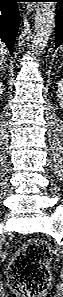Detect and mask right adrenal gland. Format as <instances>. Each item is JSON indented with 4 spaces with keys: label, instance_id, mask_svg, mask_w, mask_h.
Returning a JSON list of instances; mask_svg holds the SVG:
<instances>
[{
    "label": "right adrenal gland",
    "instance_id": "2a0ac1e0",
    "mask_svg": "<svg viewBox=\"0 0 63 297\" xmlns=\"http://www.w3.org/2000/svg\"><path fill=\"white\" fill-rule=\"evenodd\" d=\"M0 74H4L5 73V69H4V65H2L1 67H0Z\"/></svg>",
    "mask_w": 63,
    "mask_h": 297
}]
</instances>
